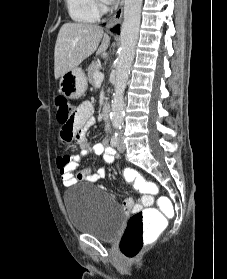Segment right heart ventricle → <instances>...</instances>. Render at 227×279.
<instances>
[{
  "label": "right heart ventricle",
  "instance_id": "e07e8e85",
  "mask_svg": "<svg viewBox=\"0 0 227 279\" xmlns=\"http://www.w3.org/2000/svg\"><path fill=\"white\" fill-rule=\"evenodd\" d=\"M69 16L79 23H91L98 19L93 0H66Z\"/></svg>",
  "mask_w": 227,
  "mask_h": 279
}]
</instances>
